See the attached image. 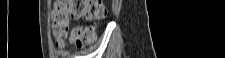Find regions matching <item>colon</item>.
Returning <instances> with one entry per match:
<instances>
[{
	"label": "colon",
	"instance_id": "colon-1",
	"mask_svg": "<svg viewBox=\"0 0 225 58\" xmlns=\"http://www.w3.org/2000/svg\"><path fill=\"white\" fill-rule=\"evenodd\" d=\"M107 9L103 0H59L52 14V33L57 44L62 45L68 37L70 19L84 18L91 25L72 31L71 35L78 47L92 43L96 22L104 19Z\"/></svg>",
	"mask_w": 225,
	"mask_h": 58
}]
</instances>
